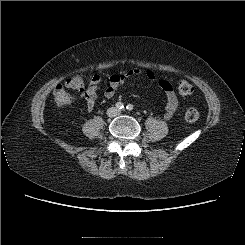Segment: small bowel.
Masks as SVG:
<instances>
[{"label": "small bowel", "mask_w": 245, "mask_h": 245, "mask_svg": "<svg viewBox=\"0 0 245 245\" xmlns=\"http://www.w3.org/2000/svg\"><path fill=\"white\" fill-rule=\"evenodd\" d=\"M139 74V69H131L126 72L112 74L109 77L108 86L104 90V97L107 99L114 97L116 91L118 90L121 84H123L128 78L137 76ZM146 77L149 80H154L155 74L152 71H148L146 72ZM100 83L101 78L99 76H94L91 80L89 87L83 93V97L86 101V107L88 112H92L95 108L97 100V90ZM158 84L160 88L163 90L167 100L164 118L166 120H170L179 109L180 102L177 94L173 89L172 84L168 80L160 79L158 81Z\"/></svg>", "instance_id": "obj_1"}]
</instances>
